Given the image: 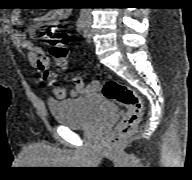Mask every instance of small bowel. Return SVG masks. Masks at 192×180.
I'll list each match as a JSON object with an SVG mask.
<instances>
[{
  "instance_id": "small-bowel-1",
  "label": "small bowel",
  "mask_w": 192,
  "mask_h": 180,
  "mask_svg": "<svg viewBox=\"0 0 192 180\" xmlns=\"http://www.w3.org/2000/svg\"><path fill=\"white\" fill-rule=\"evenodd\" d=\"M70 14V10L65 7H59L50 10L42 17L39 18L40 21L45 22L49 25H55L61 20L66 19ZM11 22L15 25L21 23L20 12L15 10L11 14ZM11 37L13 42L20 48L28 49L33 56V62L37 69L40 80L47 86H49L58 99H66L68 97H77L86 93H93L98 89V83H92L89 86H85L84 81L81 77L75 78V86L69 92L56 85V74L50 67V61L47 57L42 55V51L36 48L27 39L26 34L18 31L12 30Z\"/></svg>"
}]
</instances>
